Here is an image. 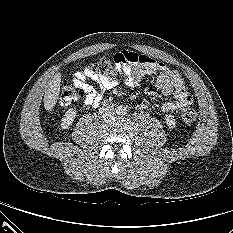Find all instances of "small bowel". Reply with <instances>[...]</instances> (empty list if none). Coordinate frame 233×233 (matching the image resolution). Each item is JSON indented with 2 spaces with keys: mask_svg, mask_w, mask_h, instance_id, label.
Here are the masks:
<instances>
[{
  "mask_svg": "<svg viewBox=\"0 0 233 233\" xmlns=\"http://www.w3.org/2000/svg\"><path fill=\"white\" fill-rule=\"evenodd\" d=\"M120 61L125 73L124 83L134 87L138 85L143 76L157 73L156 88L165 95H172L173 101L161 105L164 112L179 110L188 106L193 99L186 90L182 76L175 70L170 69L165 63L155 60L147 55H139L135 52L121 51L114 56ZM93 81L98 84L96 89L89 83ZM120 80L95 72L86 67L73 75V84L84 93V103L92 107H98L106 91L118 86ZM147 104L141 103L139 109H145Z\"/></svg>",
  "mask_w": 233,
  "mask_h": 233,
  "instance_id": "obj_1",
  "label": "small bowel"
}]
</instances>
